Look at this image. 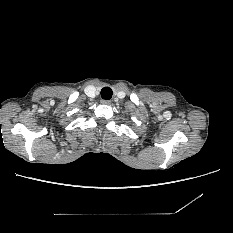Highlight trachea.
I'll return each instance as SVG.
<instances>
[{
  "label": "trachea",
  "instance_id": "1",
  "mask_svg": "<svg viewBox=\"0 0 233 233\" xmlns=\"http://www.w3.org/2000/svg\"><path fill=\"white\" fill-rule=\"evenodd\" d=\"M113 92L111 90V88L109 87H104L101 90V97L105 100H109L112 98Z\"/></svg>",
  "mask_w": 233,
  "mask_h": 233
}]
</instances>
